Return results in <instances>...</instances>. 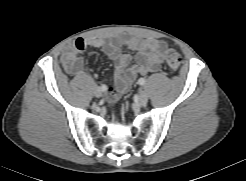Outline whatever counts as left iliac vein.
Instances as JSON below:
<instances>
[{"instance_id":"1","label":"left iliac vein","mask_w":246,"mask_h":181,"mask_svg":"<svg viewBox=\"0 0 246 181\" xmlns=\"http://www.w3.org/2000/svg\"><path fill=\"white\" fill-rule=\"evenodd\" d=\"M147 101H148V95H147L146 91H144V90L140 91V93H139V102L141 104H146Z\"/></svg>"}]
</instances>
